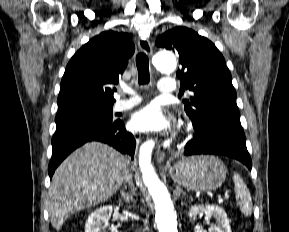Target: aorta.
I'll use <instances>...</instances> for the list:
<instances>
[{"instance_id": "1", "label": "aorta", "mask_w": 289, "mask_h": 232, "mask_svg": "<svg viewBox=\"0 0 289 232\" xmlns=\"http://www.w3.org/2000/svg\"><path fill=\"white\" fill-rule=\"evenodd\" d=\"M176 58L167 52H158L154 58L155 68L162 73H172L176 69ZM152 140L146 141L139 150V166L142 178L151 195L156 215L155 221L159 232H177V217L170 195L160 181L151 164Z\"/></svg>"}]
</instances>
